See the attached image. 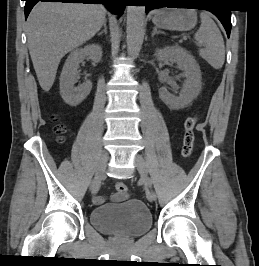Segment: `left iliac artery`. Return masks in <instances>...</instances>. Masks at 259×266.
<instances>
[{
  "instance_id": "44dca946",
  "label": "left iliac artery",
  "mask_w": 259,
  "mask_h": 266,
  "mask_svg": "<svg viewBox=\"0 0 259 266\" xmlns=\"http://www.w3.org/2000/svg\"><path fill=\"white\" fill-rule=\"evenodd\" d=\"M147 188L151 189L152 197L156 198L157 194H156V192H154V185H152V182L150 180L148 182Z\"/></svg>"
}]
</instances>
